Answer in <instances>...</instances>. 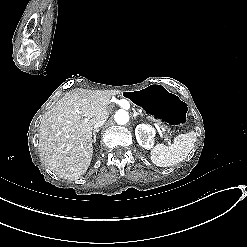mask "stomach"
Returning <instances> with one entry per match:
<instances>
[{
  "instance_id": "stomach-1",
  "label": "stomach",
  "mask_w": 247,
  "mask_h": 247,
  "mask_svg": "<svg viewBox=\"0 0 247 247\" xmlns=\"http://www.w3.org/2000/svg\"><path fill=\"white\" fill-rule=\"evenodd\" d=\"M124 96L140 106L150 119L171 126H181L186 121L187 103L175 92L162 85H149Z\"/></svg>"
}]
</instances>
